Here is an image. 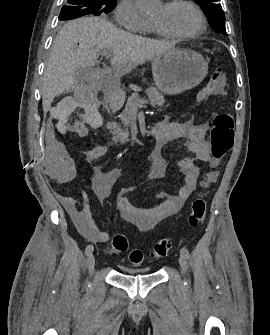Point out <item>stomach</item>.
Returning a JSON list of instances; mask_svg holds the SVG:
<instances>
[{"instance_id":"stomach-1","label":"stomach","mask_w":270,"mask_h":335,"mask_svg":"<svg viewBox=\"0 0 270 335\" xmlns=\"http://www.w3.org/2000/svg\"><path fill=\"white\" fill-rule=\"evenodd\" d=\"M155 86L163 94L174 96L195 88L208 74V62L194 50H167L152 60Z\"/></svg>"}]
</instances>
